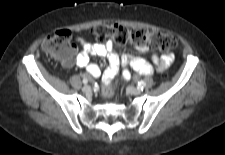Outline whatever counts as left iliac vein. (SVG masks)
<instances>
[{
	"label": "left iliac vein",
	"mask_w": 225,
	"mask_h": 155,
	"mask_svg": "<svg viewBox=\"0 0 225 155\" xmlns=\"http://www.w3.org/2000/svg\"><path fill=\"white\" fill-rule=\"evenodd\" d=\"M127 91L131 95H140L141 94V90L138 88H135L133 86H128Z\"/></svg>",
	"instance_id": "4c4485c4"
}]
</instances>
